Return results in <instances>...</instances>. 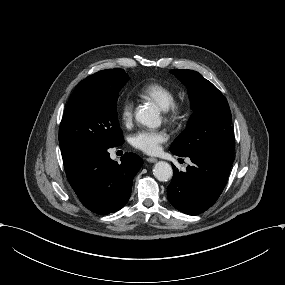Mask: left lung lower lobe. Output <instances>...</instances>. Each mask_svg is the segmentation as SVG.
I'll use <instances>...</instances> for the list:
<instances>
[{"mask_svg":"<svg viewBox=\"0 0 285 285\" xmlns=\"http://www.w3.org/2000/svg\"><path fill=\"white\" fill-rule=\"evenodd\" d=\"M234 149L213 148L188 155L193 165L186 172L174 168L167 187L169 202L179 211L197 215L209 209L227 182Z\"/></svg>","mask_w":285,"mask_h":285,"instance_id":"0a47b994","label":"left lung lower lobe"}]
</instances>
